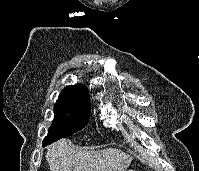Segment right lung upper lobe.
<instances>
[{
	"label": "right lung upper lobe",
	"mask_w": 199,
	"mask_h": 171,
	"mask_svg": "<svg viewBox=\"0 0 199 171\" xmlns=\"http://www.w3.org/2000/svg\"><path fill=\"white\" fill-rule=\"evenodd\" d=\"M89 97L88 88L79 83L63 89L59 95L58 101L82 104L89 103Z\"/></svg>",
	"instance_id": "1"
}]
</instances>
